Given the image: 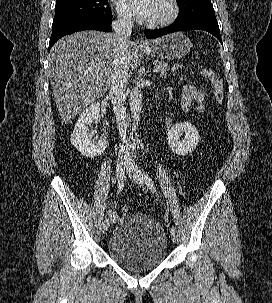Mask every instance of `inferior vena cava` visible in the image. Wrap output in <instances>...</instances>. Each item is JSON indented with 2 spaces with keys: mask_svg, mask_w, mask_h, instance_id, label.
I'll return each mask as SVG.
<instances>
[{
  "mask_svg": "<svg viewBox=\"0 0 272 303\" xmlns=\"http://www.w3.org/2000/svg\"><path fill=\"white\" fill-rule=\"evenodd\" d=\"M133 20L128 15H118V19L112 23V37L115 44V58L113 60V73L109 96L117 122L119 137L123 142L119 159L130 160V150L127 144V122L125 108V90L128 85V71L130 56L127 46L130 43Z\"/></svg>",
  "mask_w": 272,
  "mask_h": 303,
  "instance_id": "obj_1",
  "label": "inferior vena cava"
}]
</instances>
